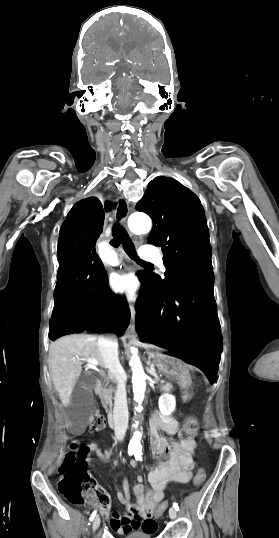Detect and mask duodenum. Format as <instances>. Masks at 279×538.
<instances>
[{
    "label": "duodenum",
    "mask_w": 279,
    "mask_h": 538,
    "mask_svg": "<svg viewBox=\"0 0 279 538\" xmlns=\"http://www.w3.org/2000/svg\"><path fill=\"white\" fill-rule=\"evenodd\" d=\"M104 383L102 381L97 382V390L99 392H102L104 390ZM108 418L106 419V428L112 429L113 427H117V424H113V418L115 417V414L113 413V409H107Z\"/></svg>",
    "instance_id": "410a0bca"
}]
</instances>
